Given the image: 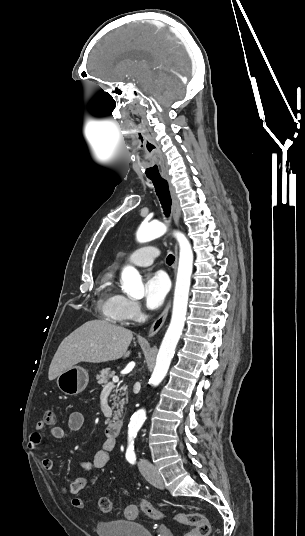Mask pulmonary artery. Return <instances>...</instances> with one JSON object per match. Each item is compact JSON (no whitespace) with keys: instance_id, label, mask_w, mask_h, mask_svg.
<instances>
[{"instance_id":"pulmonary-artery-1","label":"pulmonary artery","mask_w":305,"mask_h":536,"mask_svg":"<svg viewBox=\"0 0 305 536\" xmlns=\"http://www.w3.org/2000/svg\"><path fill=\"white\" fill-rule=\"evenodd\" d=\"M157 256L158 250L156 244H150L130 253L126 258V262L135 266H149L155 261Z\"/></svg>"}]
</instances>
